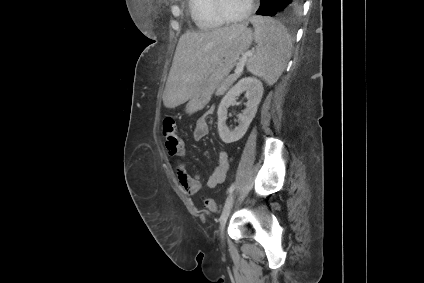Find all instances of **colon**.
<instances>
[{
	"label": "colon",
	"mask_w": 424,
	"mask_h": 283,
	"mask_svg": "<svg viewBox=\"0 0 424 283\" xmlns=\"http://www.w3.org/2000/svg\"><path fill=\"white\" fill-rule=\"evenodd\" d=\"M162 130L165 137V144L172 147L171 154L183 153V141L178 135V127L175 118L166 117L163 120ZM204 203L210 212H217L219 209L216 202L211 198H205Z\"/></svg>",
	"instance_id": "obj_1"
}]
</instances>
